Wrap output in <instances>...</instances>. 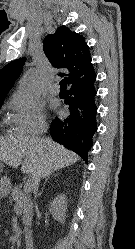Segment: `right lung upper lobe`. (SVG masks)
Returning <instances> with one entry per match:
<instances>
[{
    "label": "right lung upper lobe",
    "mask_w": 135,
    "mask_h": 249,
    "mask_svg": "<svg viewBox=\"0 0 135 249\" xmlns=\"http://www.w3.org/2000/svg\"><path fill=\"white\" fill-rule=\"evenodd\" d=\"M43 43L44 52L51 64L55 68H66L69 71V85L95 73L84 37L68 27L60 26L54 34L47 35ZM25 61L26 58L14 60L0 70V102L19 77Z\"/></svg>",
    "instance_id": "1"
}]
</instances>
